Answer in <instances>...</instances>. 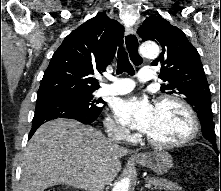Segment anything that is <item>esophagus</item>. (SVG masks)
Here are the masks:
<instances>
[{
	"label": "esophagus",
	"mask_w": 221,
	"mask_h": 191,
	"mask_svg": "<svg viewBox=\"0 0 221 191\" xmlns=\"http://www.w3.org/2000/svg\"><path fill=\"white\" fill-rule=\"evenodd\" d=\"M124 44L126 47V50L128 51L130 55L131 61L135 65H139L142 63V58L138 54V48H139V39L136 34V31L132 28L126 29L124 34Z\"/></svg>",
	"instance_id": "esophagus-1"
}]
</instances>
